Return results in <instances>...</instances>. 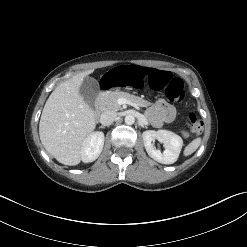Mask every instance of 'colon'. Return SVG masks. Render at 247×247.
Returning a JSON list of instances; mask_svg holds the SVG:
<instances>
[{"mask_svg": "<svg viewBox=\"0 0 247 247\" xmlns=\"http://www.w3.org/2000/svg\"><path fill=\"white\" fill-rule=\"evenodd\" d=\"M102 87L108 91H115L120 87H145L150 91L165 88L167 98L175 103L184 99L185 90L181 79L173 77L168 71H161L154 66L128 64L104 70L100 76ZM188 122L192 134H199L203 124L196 113L188 114Z\"/></svg>", "mask_w": 247, "mask_h": 247, "instance_id": "obj_1", "label": "colon"}]
</instances>
